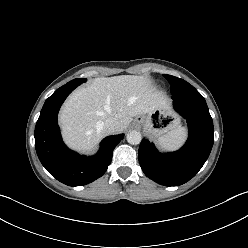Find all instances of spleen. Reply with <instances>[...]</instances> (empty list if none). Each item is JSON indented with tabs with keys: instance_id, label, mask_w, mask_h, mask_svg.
I'll use <instances>...</instances> for the list:
<instances>
[{
	"instance_id": "1",
	"label": "spleen",
	"mask_w": 248,
	"mask_h": 248,
	"mask_svg": "<svg viewBox=\"0 0 248 248\" xmlns=\"http://www.w3.org/2000/svg\"><path fill=\"white\" fill-rule=\"evenodd\" d=\"M187 137L185 127H179L169 131L158 139V145L164 150H175L179 148Z\"/></svg>"
}]
</instances>
